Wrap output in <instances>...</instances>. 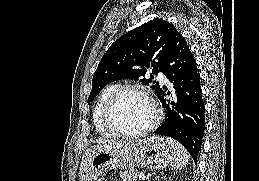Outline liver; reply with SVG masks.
Here are the masks:
<instances>
[{"label":"liver","instance_id":"obj_1","mask_svg":"<svg viewBox=\"0 0 259 181\" xmlns=\"http://www.w3.org/2000/svg\"><path fill=\"white\" fill-rule=\"evenodd\" d=\"M129 142H131V141H129ZM129 142H120V141H114V140L99 139L96 141L97 145H95L93 147H108V148L113 147V146L122 147L125 144H128Z\"/></svg>","mask_w":259,"mask_h":181}]
</instances>
